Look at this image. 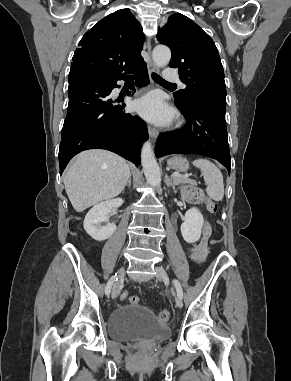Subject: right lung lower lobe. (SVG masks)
I'll use <instances>...</instances> for the list:
<instances>
[{
  "mask_svg": "<svg viewBox=\"0 0 291 381\" xmlns=\"http://www.w3.org/2000/svg\"><path fill=\"white\" fill-rule=\"evenodd\" d=\"M133 72L136 85L149 83L145 62ZM124 78L69 75V103L58 154L60 174L75 154L94 148L110 150L139 166L141 145L149 136L147 126L139 116L124 113L125 104L114 105L110 98L116 82Z\"/></svg>",
  "mask_w": 291,
  "mask_h": 381,
  "instance_id": "1",
  "label": "right lung lower lobe"
}]
</instances>
